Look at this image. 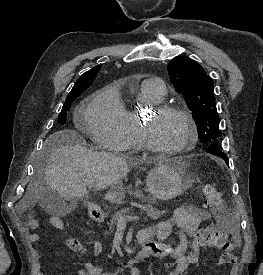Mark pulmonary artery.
Returning a JSON list of instances; mask_svg holds the SVG:
<instances>
[{"mask_svg": "<svg viewBox=\"0 0 263 275\" xmlns=\"http://www.w3.org/2000/svg\"><path fill=\"white\" fill-rule=\"evenodd\" d=\"M145 85L149 86L154 90L158 98H162L165 94V87L161 79L151 78L144 82Z\"/></svg>", "mask_w": 263, "mask_h": 275, "instance_id": "pulmonary-artery-1", "label": "pulmonary artery"}]
</instances>
